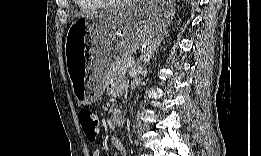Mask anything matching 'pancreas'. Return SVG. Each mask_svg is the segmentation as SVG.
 I'll list each match as a JSON object with an SVG mask.
<instances>
[{
  "mask_svg": "<svg viewBox=\"0 0 261 156\" xmlns=\"http://www.w3.org/2000/svg\"><path fill=\"white\" fill-rule=\"evenodd\" d=\"M132 57L128 54H123L115 61H111L110 64L106 67V72L108 75L126 73L127 67L126 63L131 60Z\"/></svg>",
  "mask_w": 261,
  "mask_h": 156,
  "instance_id": "cf45deb5",
  "label": "pancreas"
}]
</instances>
